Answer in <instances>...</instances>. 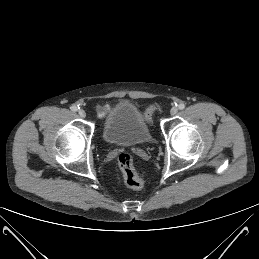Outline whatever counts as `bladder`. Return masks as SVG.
Here are the masks:
<instances>
[{"mask_svg":"<svg viewBox=\"0 0 259 259\" xmlns=\"http://www.w3.org/2000/svg\"><path fill=\"white\" fill-rule=\"evenodd\" d=\"M103 138L116 146H139L152 141L141 111L128 100L118 101L108 111L103 123Z\"/></svg>","mask_w":259,"mask_h":259,"instance_id":"obj_1","label":"bladder"}]
</instances>
